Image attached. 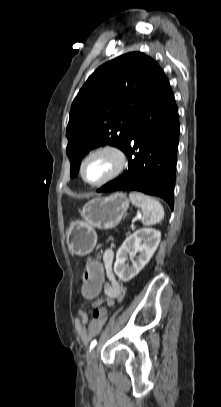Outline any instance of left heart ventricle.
<instances>
[{
    "label": "left heart ventricle",
    "instance_id": "obj_1",
    "mask_svg": "<svg viewBox=\"0 0 221 407\" xmlns=\"http://www.w3.org/2000/svg\"><path fill=\"white\" fill-rule=\"evenodd\" d=\"M116 158L110 153H100L91 157L84 167L85 178L98 182L110 175L116 168Z\"/></svg>",
    "mask_w": 221,
    "mask_h": 407
}]
</instances>
